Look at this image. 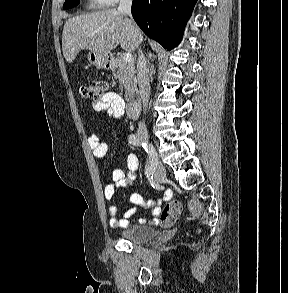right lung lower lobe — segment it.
<instances>
[{
  "mask_svg": "<svg viewBox=\"0 0 288 293\" xmlns=\"http://www.w3.org/2000/svg\"><path fill=\"white\" fill-rule=\"evenodd\" d=\"M197 0H133L132 16L142 31L168 50L177 46Z\"/></svg>",
  "mask_w": 288,
  "mask_h": 293,
  "instance_id": "98d812e1",
  "label": "right lung lower lobe"
}]
</instances>
